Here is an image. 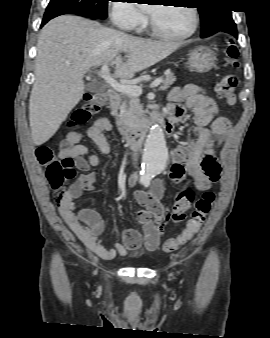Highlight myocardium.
<instances>
[{
	"label": "myocardium",
	"mask_w": 270,
	"mask_h": 338,
	"mask_svg": "<svg viewBox=\"0 0 270 338\" xmlns=\"http://www.w3.org/2000/svg\"><path fill=\"white\" fill-rule=\"evenodd\" d=\"M187 8L191 11L192 17H193V25H192V28L188 32L183 33V34H168V33L162 32L161 30L157 28L152 16L149 13L148 21H149L151 33L156 37L166 39V40H183V39H187L191 37L192 35H194V33L198 29V24H199L198 12L194 7L190 5H187Z\"/></svg>",
	"instance_id": "myocardium-1"
}]
</instances>
